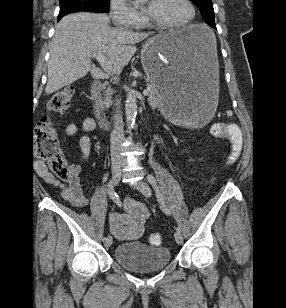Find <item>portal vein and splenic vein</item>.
Instances as JSON below:
<instances>
[{
    "label": "portal vein and splenic vein",
    "instance_id": "obj_1",
    "mask_svg": "<svg viewBox=\"0 0 286 308\" xmlns=\"http://www.w3.org/2000/svg\"><path fill=\"white\" fill-rule=\"evenodd\" d=\"M93 57H95L97 59V61L100 63V65L102 66V68L108 72L109 74H111L112 72V65L110 63V61L107 59V57L101 53V52H95L93 53ZM150 92V89L147 88L146 90L143 91L144 95H148Z\"/></svg>",
    "mask_w": 286,
    "mask_h": 308
}]
</instances>
